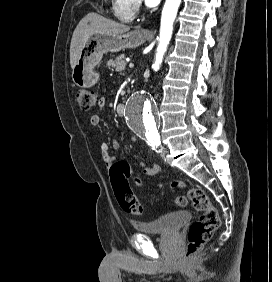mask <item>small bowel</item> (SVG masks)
<instances>
[{
    "mask_svg": "<svg viewBox=\"0 0 272 282\" xmlns=\"http://www.w3.org/2000/svg\"><path fill=\"white\" fill-rule=\"evenodd\" d=\"M104 105H105V99L101 98L100 101H99V111H102ZM100 120H101L100 113H96V114L91 116L90 123L93 126H96V125H98L100 123ZM131 140L133 142H136L138 139H137V137H132ZM111 146H112V148L114 150H118L119 149L118 141L117 140H113L111 142ZM100 149H101L102 158H103V161L105 162V164L108 165V166L111 165L113 163V161L115 160V158H114V156L109 154V144L106 143V142H103L101 144V146H100ZM123 164L128 169H130L131 161H124ZM141 166L143 168L144 174L148 175V176L154 175L156 173V171L159 169V167L157 165L149 166L147 164V162H145V161L141 162Z\"/></svg>",
    "mask_w": 272,
    "mask_h": 282,
    "instance_id": "1",
    "label": "small bowel"
}]
</instances>
